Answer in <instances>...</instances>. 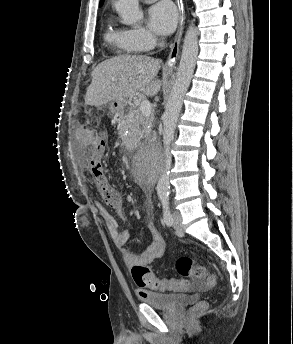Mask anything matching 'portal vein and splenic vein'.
<instances>
[{
	"label": "portal vein and splenic vein",
	"mask_w": 293,
	"mask_h": 344,
	"mask_svg": "<svg viewBox=\"0 0 293 344\" xmlns=\"http://www.w3.org/2000/svg\"><path fill=\"white\" fill-rule=\"evenodd\" d=\"M140 112L143 116L147 117L152 112L151 104L148 100H143L140 104Z\"/></svg>",
	"instance_id": "18ae733b"
}]
</instances>
